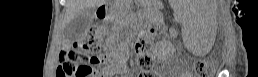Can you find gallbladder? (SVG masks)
<instances>
[{
    "label": "gallbladder",
    "instance_id": "bac80fb5",
    "mask_svg": "<svg viewBox=\"0 0 258 77\" xmlns=\"http://www.w3.org/2000/svg\"><path fill=\"white\" fill-rule=\"evenodd\" d=\"M94 18V10L88 9L76 15L64 29V36L68 41H77L83 37Z\"/></svg>",
    "mask_w": 258,
    "mask_h": 77
}]
</instances>
